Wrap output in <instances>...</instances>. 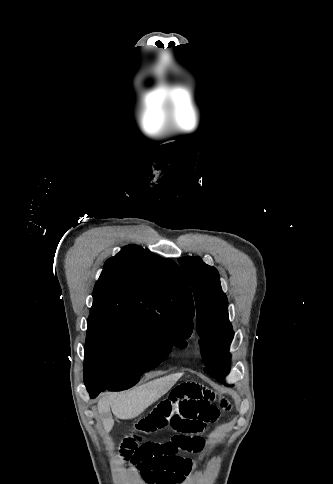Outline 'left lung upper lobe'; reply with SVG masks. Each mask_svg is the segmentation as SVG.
Returning <instances> with one entry per match:
<instances>
[{
    "label": "left lung upper lobe",
    "mask_w": 333,
    "mask_h": 484,
    "mask_svg": "<svg viewBox=\"0 0 333 484\" xmlns=\"http://www.w3.org/2000/svg\"><path fill=\"white\" fill-rule=\"evenodd\" d=\"M178 262L194 294L201 354L207 366L205 372L224 383L223 379L230 370L229 346L234 332L219 273L200 257L184 256L178 258Z\"/></svg>",
    "instance_id": "left-lung-upper-lobe-1"
}]
</instances>
